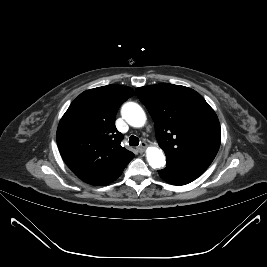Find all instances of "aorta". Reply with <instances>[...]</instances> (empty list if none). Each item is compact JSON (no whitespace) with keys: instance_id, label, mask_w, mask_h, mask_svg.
I'll use <instances>...</instances> for the list:
<instances>
[{"instance_id":"aorta-1","label":"aorta","mask_w":267,"mask_h":267,"mask_svg":"<svg viewBox=\"0 0 267 267\" xmlns=\"http://www.w3.org/2000/svg\"><path fill=\"white\" fill-rule=\"evenodd\" d=\"M123 119L132 127H142L146 122V114L142 107L135 102H127L122 106ZM146 158L149 165L154 168H162L166 164L165 155L158 147H149L146 150Z\"/></svg>"}]
</instances>
